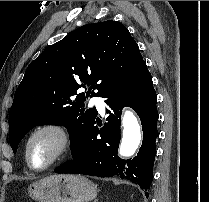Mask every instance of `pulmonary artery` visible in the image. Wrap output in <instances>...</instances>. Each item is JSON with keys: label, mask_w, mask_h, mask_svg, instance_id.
I'll return each instance as SVG.
<instances>
[{"label": "pulmonary artery", "mask_w": 209, "mask_h": 202, "mask_svg": "<svg viewBox=\"0 0 209 202\" xmlns=\"http://www.w3.org/2000/svg\"><path fill=\"white\" fill-rule=\"evenodd\" d=\"M90 106H95L100 113H103L105 110V104L102 98L94 96L89 101Z\"/></svg>", "instance_id": "1"}]
</instances>
